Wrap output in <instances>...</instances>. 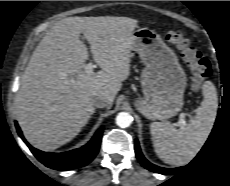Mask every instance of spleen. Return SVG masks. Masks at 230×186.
Here are the masks:
<instances>
[{"mask_svg":"<svg viewBox=\"0 0 230 186\" xmlns=\"http://www.w3.org/2000/svg\"><path fill=\"white\" fill-rule=\"evenodd\" d=\"M203 101L188 124L180 129L170 123L153 122L150 125L156 154L165 163L175 166L188 164L206 142L216 119L217 91L210 81L202 86Z\"/></svg>","mask_w":230,"mask_h":186,"instance_id":"3e777b00","label":"spleen"}]
</instances>
